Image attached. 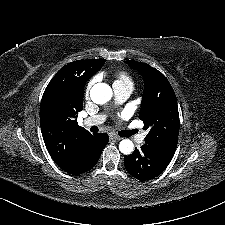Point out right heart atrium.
Segmentation results:
<instances>
[{"label": "right heart atrium", "instance_id": "1", "mask_svg": "<svg viewBox=\"0 0 225 225\" xmlns=\"http://www.w3.org/2000/svg\"><path fill=\"white\" fill-rule=\"evenodd\" d=\"M96 82V78H92L89 83L87 84V87L85 89V94L88 95L90 89L92 88V86L95 84Z\"/></svg>", "mask_w": 225, "mask_h": 225}]
</instances>
